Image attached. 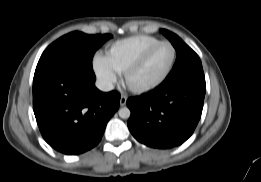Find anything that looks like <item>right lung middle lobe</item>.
Returning <instances> with one entry per match:
<instances>
[{
  "label": "right lung middle lobe",
  "mask_w": 261,
  "mask_h": 182,
  "mask_svg": "<svg viewBox=\"0 0 261 182\" xmlns=\"http://www.w3.org/2000/svg\"><path fill=\"white\" fill-rule=\"evenodd\" d=\"M112 37L111 34L87 35L78 31L64 35L43 52L35 72L62 60H73L91 72L95 51Z\"/></svg>",
  "instance_id": "dd1d6c3e"
}]
</instances>
